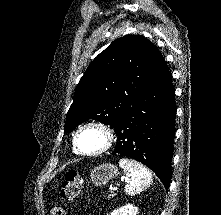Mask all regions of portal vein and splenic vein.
<instances>
[{
    "instance_id": "obj_1",
    "label": "portal vein and splenic vein",
    "mask_w": 221,
    "mask_h": 215,
    "mask_svg": "<svg viewBox=\"0 0 221 215\" xmlns=\"http://www.w3.org/2000/svg\"><path fill=\"white\" fill-rule=\"evenodd\" d=\"M117 191V187H114L113 190L111 191V194L109 196H111L113 194V192Z\"/></svg>"
}]
</instances>
